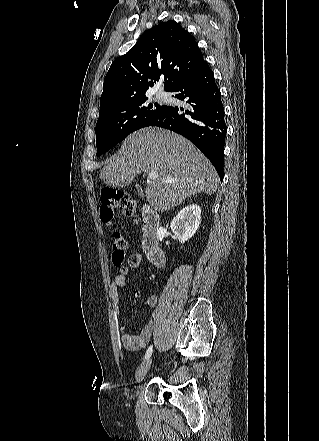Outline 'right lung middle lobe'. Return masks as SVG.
Returning <instances> with one entry per match:
<instances>
[{
  "mask_svg": "<svg viewBox=\"0 0 319 441\" xmlns=\"http://www.w3.org/2000/svg\"><path fill=\"white\" fill-rule=\"evenodd\" d=\"M165 107L150 103L144 97L100 111L96 124L97 156L106 153L133 131L151 126Z\"/></svg>",
  "mask_w": 319,
  "mask_h": 441,
  "instance_id": "dd1d6c3e",
  "label": "right lung middle lobe"
}]
</instances>
